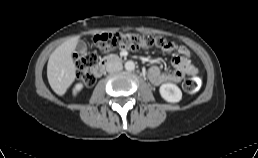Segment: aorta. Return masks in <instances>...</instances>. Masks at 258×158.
Instances as JSON below:
<instances>
[{"label":"aorta","mask_w":258,"mask_h":158,"mask_svg":"<svg viewBox=\"0 0 258 158\" xmlns=\"http://www.w3.org/2000/svg\"><path fill=\"white\" fill-rule=\"evenodd\" d=\"M125 69L127 70V71H133L134 69H135V64H134V62L133 61H127L126 63H125Z\"/></svg>","instance_id":"762f6f07"}]
</instances>
